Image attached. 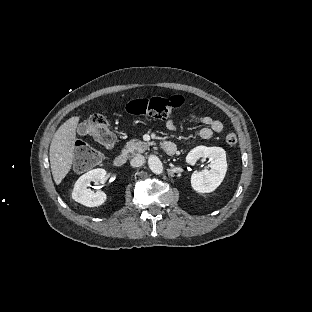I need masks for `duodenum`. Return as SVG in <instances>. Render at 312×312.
<instances>
[{
    "instance_id": "1",
    "label": "duodenum",
    "mask_w": 312,
    "mask_h": 312,
    "mask_svg": "<svg viewBox=\"0 0 312 312\" xmlns=\"http://www.w3.org/2000/svg\"><path fill=\"white\" fill-rule=\"evenodd\" d=\"M161 148L168 155H175L177 153L176 145L169 141L163 142ZM126 161H127V153L122 152L114 158V165L117 168H122L125 166Z\"/></svg>"
}]
</instances>
